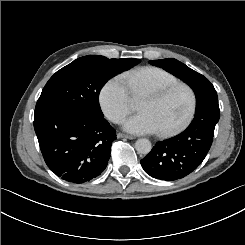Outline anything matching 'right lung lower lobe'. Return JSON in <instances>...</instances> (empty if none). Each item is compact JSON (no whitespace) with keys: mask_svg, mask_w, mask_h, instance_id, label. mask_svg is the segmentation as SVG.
<instances>
[{"mask_svg":"<svg viewBox=\"0 0 245 245\" xmlns=\"http://www.w3.org/2000/svg\"><path fill=\"white\" fill-rule=\"evenodd\" d=\"M34 129L47 166L73 183L103 172L116 139L115 129L104 118L64 109L35 114Z\"/></svg>","mask_w":245,"mask_h":245,"instance_id":"obj_1","label":"right lung lower lobe"}]
</instances>
